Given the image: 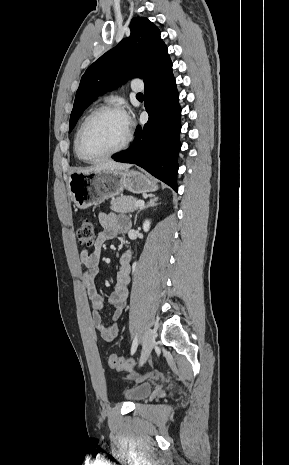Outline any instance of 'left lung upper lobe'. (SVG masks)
<instances>
[{
	"mask_svg": "<svg viewBox=\"0 0 289 465\" xmlns=\"http://www.w3.org/2000/svg\"><path fill=\"white\" fill-rule=\"evenodd\" d=\"M130 30L128 38L102 55L85 71L76 93L69 131L74 128L84 109L108 89L136 76L144 78L147 85L172 71L167 47L160 38L159 29L150 20L135 17L131 21Z\"/></svg>",
	"mask_w": 289,
	"mask_h": 465,
	"instance_id": "obj_1",
	"label": "left lung upper lobe"
}]
</instances>
